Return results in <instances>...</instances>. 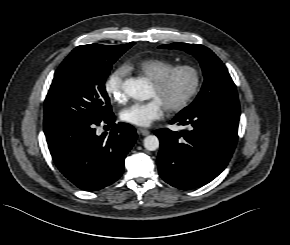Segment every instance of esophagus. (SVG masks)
Instances as JSON below:
<instances>
[{"mask_svg":"<svg viewBox=\"0 0 290 245\" xmlns=\"http://www.w3.org/2000/svg\"><path fill=\"white\" fill-rule=\"evenodd\" d=\"M139 133H140L141 135H143V136H147V135L150 134V131L147 130V129L140 128V129H139Z\"/></svg>","mask_w":290,"mask_h":245,"instance_id":"34e87169","label":"esophagus"}]
</instances>
